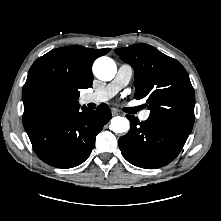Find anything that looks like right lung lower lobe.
<instances>
[{
    "label": "right lung lower lobe",
    "instance_id": "98d812e1",
    "mask_svg": "<svg viewBox=\"0 0 221 221\" xmlns=\"http://www.w3.org/2000/svg\"><path fill=\"white\" fill-rule=\"evenodd\" d=\"M71 106L48 118L32 122L25 130L37 156L57 168H72L83 163L95 145L96 135L110 120L106 104L92 111Z\"/></svg>",
    "mask_w": 221,
    "mask_h": 221
}]
</instances>
